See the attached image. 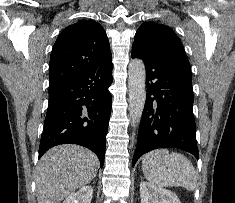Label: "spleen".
Listing matches in <instances>:
<instances>
[{"instance_id":"1","label":"spleen","mask_w":235,"mask_h":203,"mask_svg":"<svg viewBox=\"0 0 235 203\" xmlns=\"http://www.w3.org/2000/svg\"><path fill=\"white\" fill-rule=\"evenodd\" d=\"M145 178L158 187L182 186L189 191L196 188L197 175L191 161L180 153L157 149L142 158Z\"/></svg>"}]
</instances>
